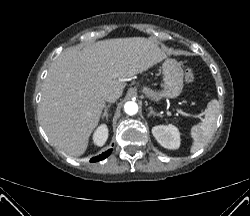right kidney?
<instances>
[{
  "instance_id": "obj_1",
  "label": "right kidney",
  "mask_w": 250,
  "mask_h": 216,
  "mask_svg": "<svg viewBox=\"0 0 250 216\" xmlns=\"http://www.w3.org/2000/svg\"><path fill=\"white\" fill-rule=\"evenodd\" d=\"M108 138V128L105 124L100 125L93 135V142L97 146H103Z\"/></svg>"
}]
</instances>
